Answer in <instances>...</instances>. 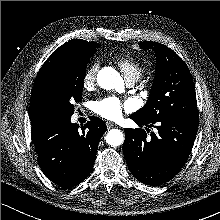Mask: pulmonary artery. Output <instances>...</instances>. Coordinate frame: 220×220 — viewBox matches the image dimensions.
<instances>
[{
  "mask_svg": "<svg viewBox=\"0 0 220 220\" xmlns=\"http://www.w3.org/2000/svg\"><path fill=\"white\" fill-rule=\"evenodd\" d=\"M135 81H136V78H127L128 85H133Z\"/></svg>",
  "mask_w": 220,
  "mask_h": 220,
  "instance_id": "1",
  "label": "pulmonary artery"
}]
</instances>
